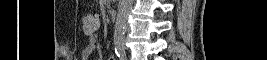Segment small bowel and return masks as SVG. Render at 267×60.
<instances>
[{"label":"small bowel","mask_w":267,"mask_h":60,"mask_svg":"<svg viewBox=\"0 0 267 60\" xmlns=\"http://www.w3.org/2000/svg\"><path fill=\"white\" fill-rule=\"evenodd\" d=\"M83 55L85 59H88L92 55H97L99 57L102 55V49L99 44L98 36L95 32L89 34L88 44L83 51ZM114 59L115 58L113 56L109 57V60Z\"/></svg>","instance_id":"obj_1"}]
</instances>
